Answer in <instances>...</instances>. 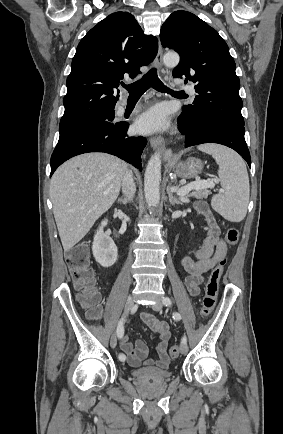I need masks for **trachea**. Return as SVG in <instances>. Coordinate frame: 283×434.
Returning a JSON list of instances; mask_svg holds the SVG:
<instances>
[{"label": "trachea", "instance_id": "1", "mask_svg": "<svg viewBox=\"0 0 283 434\" xmlns=\"http://www.w3.org/2000/svg\"><path fill=\"white\" fill-rule=\"evenodd\" d=\"M150 87L172 95H186L184 92L173 91L165 86L159 79L156 68L150 69L140 80L124 85V88L129 92V97H141Z\"/></svg>", "mask_w": 283, "mask_h": 434}]
</instances>
